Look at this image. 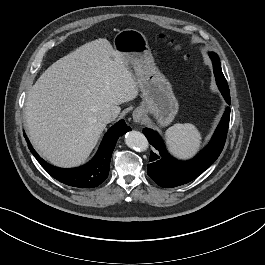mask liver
<instances>
[{
	"mask_svg": "<svg viewBox=\"0 0 265 265\" xmlns=\"http://www.w3.org/2000/svg\"><path fill=\"white\" fill-rule=\"evenodd\" d=\"M138 96V84L107 39L86 43L53 63L30 89L25 104L28 134L50 163L74 167L96 146L106 124L103 111Z\"/></svg>",
	"mask_w": 265,
	"mask_h": 265,
	"instance_id": "1",
	"label": "liver"
}]
</instances>
